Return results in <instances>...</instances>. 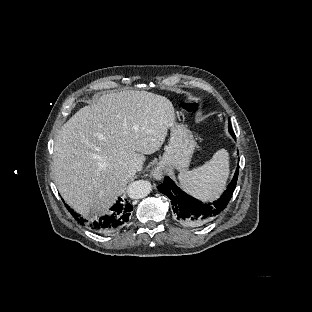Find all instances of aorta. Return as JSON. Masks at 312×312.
Instances as JSON below:
<instances>
[{
  "label": "aorta",
  "mask_w": 312,
  "mask_h": 312,
  "mask_svg": "<svg viewBox=\"0 0 312 312\" xmlns=\"http://www.w3.org/2000/svg\"><path fill=\"white\" fill-rule=\"evenodd\" d=\"M151 190L152 185L149 181L137 180L128 186L127 193L131 199H141L146 197Z\"/></svg>",
  "instance_id": "1"
}]
</instances>
